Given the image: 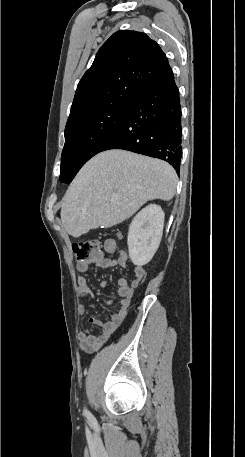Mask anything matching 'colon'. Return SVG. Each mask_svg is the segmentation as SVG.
Masks as SVG:
<instances>
[{
	"label": "colon",
	"mask_w": 245,
	"mask_h": 457,
	"mask_svg": "<svg viewBox=\"0 0 245 457\" xmlns=\"http://www.w3.org/2000/svg\"><path fill=\"white\" fill-rule=\"evenodd\" d=\"M72 250L75 260L77 262H83L99 255L101 248L97 239H89L74 243Z\"/></svg>",
	"instance_id": "colon-1"
}]
</instances>
